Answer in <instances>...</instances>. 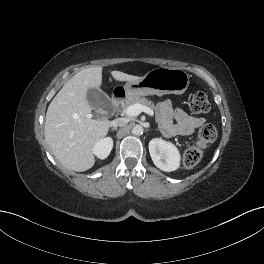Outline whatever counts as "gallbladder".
<instances>
[{
  "label": "gallbladder",
  "instance_id": "bac80fb5",
  "mask_svg": "<svg viewBox=\"0 0 264 264\" xmlns=\"http://www.w3.org/2000/svg\"><path fill=\"white\" fill-rule=\"evenodd\" d=\"M87 100L90 107L94 110L106 109L111 104L109 96L101 89L90 88L87 92ZM101 117V114H96Z\"/></svg>",
  "mask_w": 264,
  "mask_h": 264
}]
</instances>
